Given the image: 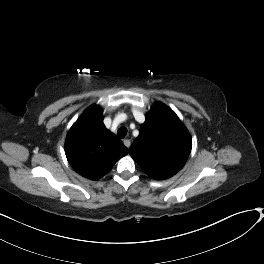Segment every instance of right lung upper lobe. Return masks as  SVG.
Returning <instances> with one entry per match:
<instances>
[{"label": "right lung upper lobe", "instance_id": "obj_1", "mask_svg": "<svg viewBox=\"0 0 264 264\" xmlns=\"http://www.w3.org/2000/svg\"><path fill=\"white\" fill-rule=\"evenodd\" d=\"M65 153L73 169L83 177L98 180L128 149L103 124L102 109L92 105L84 111L69 130Z\"/></svg>", "mask_w": 264, "mask_h": 264}]
</instances>
